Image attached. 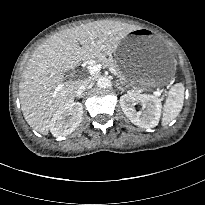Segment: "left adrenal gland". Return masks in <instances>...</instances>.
I'll return each instance as SVG.
<instances>
[{"instance_id":"left-adrenal-gland-1","label":"left adrenal gland","mask_w":205,"mask_h":205,"mask_svg":"<svg viewBox=\"0 0 205 205\" xmlns=\"http://www.w3.org/2000/svg\"><path fill=\"white\" fill-rule=\"evenodd\" d=\"M116 86H117V88L119 89V90H121V91H124L125 90V88L124 87H122L121 85H120V83H116Z\"/></svg>"}]
</instances>
